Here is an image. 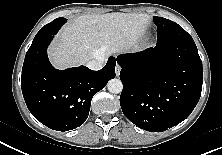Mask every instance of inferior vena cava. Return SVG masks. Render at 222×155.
<instances>
[{
  "label": "inferior vena cava",
  "mask_w": 222,
  "mask_h": 155,
  "mask_svg": "<svg viewBox=\"0 0 222 155\" xmlns=\"http://www.w3.org/2000/svg\"><path fill=\"white\" fill-rule=\"evenodd\" d=\"M105 62H106L105 57H100V58H98V59H96V60H91V61H89V62L86 64V66H87L89 69H91V70L97 71V70H100V69L103 68Z\"/></svg>",
  "instance_id": "obj_1"
}]
</instances>
